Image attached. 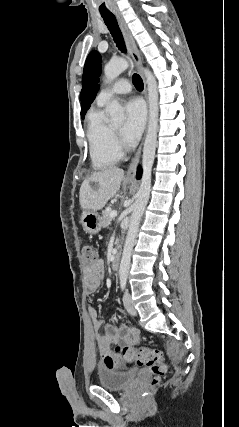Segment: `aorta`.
<instances>
[{
  "instance_id": "aorta-1",
  "label": "aorta",
  "mask_w": 239,
  "mask_h": 427,
  "mask_svg": "<svg viewBox=\"0 0 239 427\" xmlns=\"http://www.w3.org/2000/svg\"><path fill=\"white\" fill-rule=\"evenodd\" d=\"M129 62L125 59L110 61L104 67V74L107 82L116 79L123 71L129 67ZM146 77L148 101H149V122L147 134L143 147L142 167L143 174L141 184L137 193V199L133 204V211L130 218L129 229L127 232L123 254L121 258L119 275L127 277L130 269L132 250L135 244L139 223L147 205L150 188L151 173L155 157L158 131V89L157 82L153 74L148 69H143ZM106 114L110 117L113 124H121L125 119L124 109L117 100H113L106 107Z\"/></svg>"
}]
</instances>
